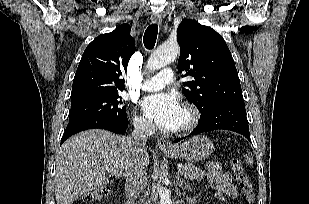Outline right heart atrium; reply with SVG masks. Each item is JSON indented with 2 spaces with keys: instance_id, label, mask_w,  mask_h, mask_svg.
Listing matches in <instances>:
<instances>
[{
  "instance_id": "right-heart-atrium-1",
  "label": "right heart atrium",
  "mask_w": 309,
  "mask_h": 204,
  "mask_svg": "<svg viewBox=\"0 0 309 204\" xmlns=\"http://www.w3.org/2000/svg\"><path fill=\"white\" fill-rule=\"evenodd\" d=\"M133 123L135 128L144 134H151L153 132L154 128L152 123L141 114L134 113Z\"/></svg>"
}]
</instances>
